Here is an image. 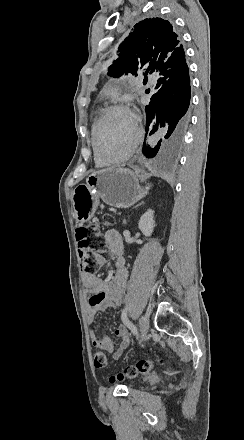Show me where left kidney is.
<instances>
[{
    "label": "left kidney",
    "instance_id": "1",
    "mask_svg": "<svg viewBox=\"0 0 244 440\" xmlns=\"http://www.w3.org/2000/svg\"><path fill=\"white\" fill-rule=\"evenodd\" d=\"M154 212L153 210H147L139 220V230H141L144 236H151L153 228H155V222L153 220Z\"/></svg>",
    "mask_w": 244,
    "mask_h": 440
}]
</instances>
